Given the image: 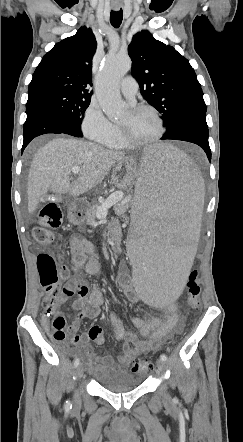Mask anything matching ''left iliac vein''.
<instances>
[{
    "mask_svg": "<svg viewBox=\"0 0 243 442\" xmlns=\"http://www.w3.org/2000/svg\"><path fill=\"white\" fill-rule=\"evenodd\" d=\"M156 366H157V369H158L159 372H163V371H165V363H164L163 360L158 359V360L156 361ZM167 397H168V395H166V398H167Z\"/></svg>",
    "mask_w": 243,
    "mask_h": 442,
    "instance_id": "4c4485c4",
    "label": "left iliac vein"
}]
</instances>
